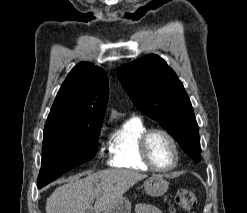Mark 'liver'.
Instances as JSON below:
<instances>
[{"mask_svg": "<svg viewBox=\"0 0 247 213\" xmlns=\"http://www.w3.org/2000/svg\"><path fill=\"white\" fill-rule=\"evenodd\" d=\"M80 176L54 190L47 198L46 213H85L88 209L101 213L118 202L130 187L147 177L131 170L114 169L88 173L83 179ZM95 199L93 208L91 203Z\"/></svg>", "mask_w": 247, "mask_h": 213, "instance_id": "liver-1", "label": "liver"}]
</instances>
